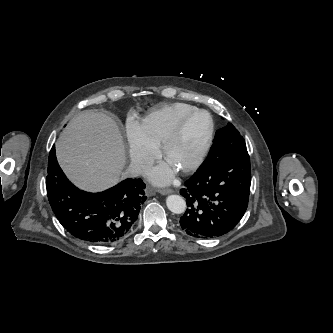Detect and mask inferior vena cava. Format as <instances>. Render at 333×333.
I'll use <instances>...</instances> for the list:
<instances>
[{"mask_svg":"<svg viewBox=\"0 0 333 333\" xmlns=\"http://www.w3.org/2000/svg\"><path fill=\"white\" fill-rule=\"evenodd\" d=\"M147 170V165L144 163H141L139 161H132L124 173V176L126 177H136L138 175H141L145 173Z\"/></svg>","mask_w":333,"mask_h":333,"instance_id":"1","label":"inferior vena cava"}]
</instances>
